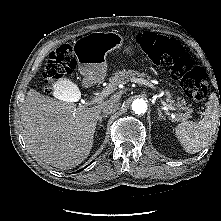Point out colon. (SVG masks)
<instances>
[{
	"label": "colon",
	"instance_id": "colon-1",
	"mask_svg": "<svg viewBox=\"0 0 221 221\" xmlns=\"http://www.w3.org/2000/svg\"><path fill=\"white\" fill-rule=\"evenodd\" d=\"M136 40L150 60L168 70L177 79L186 93L194 101H202L208 92V78L205 70L194 65L181 44L173 39L153 32L137 34ZM73 48L63 44L51 52L44 69L45 87L59 78L70 75L76 68Z\"/></svg>",
	"mask_w": 221,
	"mask_h": 221
}]
</instances>
